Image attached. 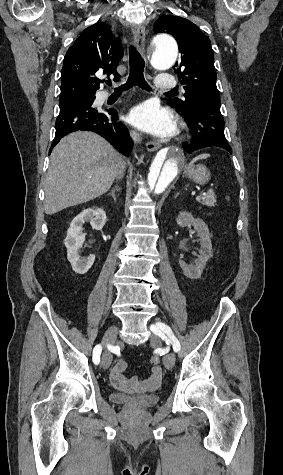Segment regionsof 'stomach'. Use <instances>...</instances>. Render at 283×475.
<instances>
[{
  "label": "stomach",
  "instance_id": "obj_1",
  "mask_svg": "<svg viewBox=\"0 0 283 475\" xmlns=\"http://www.w3.org/2000/svg\"><path fill=\"white\" fill-rule=\"evenodd\" d=\"M185 176L191 178L195 184H207L211 178V174L203 164H198V166H189L184 172Z\"/></svg>",
  "mask_w": 283,
  "mask_h": 475
}]
</instances>
